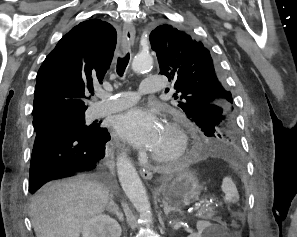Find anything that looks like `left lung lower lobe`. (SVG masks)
Here are the masks:
<instances>
[{
	"label": "left lung lower lobe",
	"mask_w": 297,
	"mask_h": 237,
	"mask_svg": "<svg viewBox=\"0 0 297 237\" xmlns=\"http://www.w3.org/2000/svg\"><path fill=\"white\" fill-rule=\"evenodd\" d=\"M193 155L199 156H220L225 158H234L237 155V152L231 153L226 148L225 144L218 140L214 139H205L200 142H197L192 148Z\"/></svg>",
	"instance_id": "left-lung-lower-lobe-1"
}]
</instances>
